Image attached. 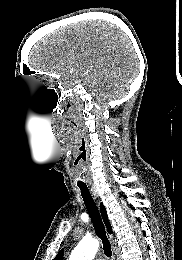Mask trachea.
<instances>
[{"label": "trachea", "instance_id": "1", "mask_svg": "<svg viewBox=\"0 0 182 260\" xmlns=\"http://www.w3.org/2000/svg\"><path fill=\"white\" fill-rule=\"evenodd\" d=\"M79 188L84 204L91 218L95 232L102 241L104 253L106 254V256L111 257V245L106 235L105 227L102 222L96 203L94 202L91 193L87 187L79 186Z\"/></svg>", "mask_w": 182, "mask_h": 260}]
</instances>
